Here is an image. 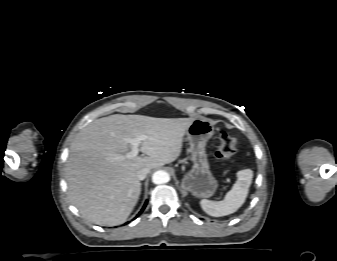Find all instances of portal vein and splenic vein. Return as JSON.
<instances>
[{"label": "portal vein and splenic vein", "mask_w": 337, "mask_h": 261, "mask_svg": "<svg viewBox=\"0 0 337 261\" xmlns=\"http://www.w3.org/2000/svg\"><path fill=\"white\" fill-rule=\"evenodd\" d=\"M148 136L146 135H140L135 138H125L124 140L129 143L132 146L131 151L126 153L125 155H114L113 159L114 160H123L125 158L131 159L134 158L138 155L139 153V146L142 141L146 140Z\"/></svg>", "instance_id": "18ae733b"}]
</instances>
